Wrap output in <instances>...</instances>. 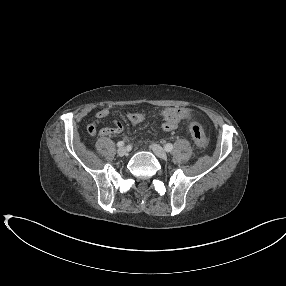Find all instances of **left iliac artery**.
Listing matches in <instances>:
<instances>
[{"instance_id":"obj_1","label":"left iliac artery","mask_w":286,"mask_h":286,"mask_svg":"<svg viewBox=\"0 0 286 286\" xmlns=\"http://www.w3.org/2000/svg\"><path fill=\"white\" fill-rule=\"evenodd\" d=\"M165 150L167 152H171L173 150V145L171 143H168L165 145Z\"/></svg>"}]
</instances>
